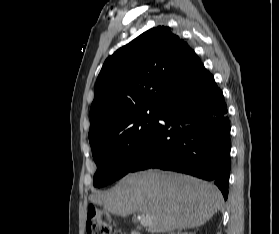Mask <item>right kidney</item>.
I'll list each match as a JSON object with an SVG mask.
<instances>
[{
    "instance_id": "right-kidney-1",
    "label": "right kidney",
    "mask_w": 279,
    "mask_h": 234,
    "mask_svg": "<svg viewBox=\"0 0 279 234\" xmlns=\"http://www.w3.org/2000/svg\"><path fill=\"white\" fill-rule=\"evenodd\" d=\"M178 234H192V233H178Z\"/></svg>"
}]
</instances>
